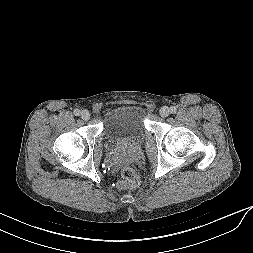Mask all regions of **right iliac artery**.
<instances>
[{
	"instance_id": "1",
	"label": "right iliac artery",
	"mask_w": 253,
	"mask_h": 253,
	"mask_svg": "<svg viewBox=\"0 0 253 253\" xmlns=\"http://www.w3.org/2000/svg\"><path fill=\"white\" fill-rule=\"evenodd\" d=\"M74 114H75L76 116H79V115L81 114V112H80L79 109H75V110H74Z\"/></svg>"
}]
</instances>
